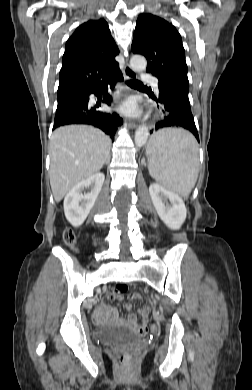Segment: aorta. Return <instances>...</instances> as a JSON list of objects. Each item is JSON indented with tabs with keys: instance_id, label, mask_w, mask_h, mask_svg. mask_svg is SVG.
<instances>
[{
	"instance_id": "obj_1",
	"label": "aorta",
	"mask_w": 252,
	"mask_h": 390,
	"mask_svg": "<svg viewBox=\"0 0 252 390\" xmlns=\"http://www.w3.org/2000/svg\"><path fill=\"white\" fill-rule=\"evenodd\" d=\"M130 66L136 72H142L146 69L147 61L143 56L134 55L130 59ZM149 136L148 127L141 125L137 128L135 132V144L136 146H143L146 144Z\"/></svg>"
}]
</instances>
